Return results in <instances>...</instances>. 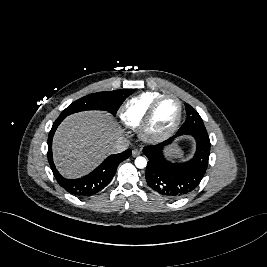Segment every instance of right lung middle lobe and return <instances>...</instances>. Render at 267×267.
Listing matches in <instances>:
<instances>
[{
	"label": "right lung middle lobe",
	"mask_w": 267,
	"mask_h": 267,
	"mask_svg": "<svg viewBox=\"0 0 267 267\" xmlns=\"http://www.w3.org/2000/svg\"><path fill=\"white\" fill-rule=\"evenodd\" d=\"M134 92L133 89L98 92L84 96L70 104L57 118L62 121L66 116L85 110H106L115 114L124 100Z\"/></svg>",
	"instance_id": "dd1d6c3e"
}]
</instances>
